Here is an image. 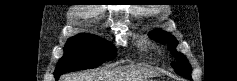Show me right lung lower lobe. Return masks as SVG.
Masks as SVG:
<instances>
[{"instance_id": "1", "label": "right lung lower lobe", "mask_w": 237, "mask_h": 81, "mask_svg": "<svg viewBox=\"0 0 237 81\" xmlns=\"http://www.w3.org/2000/svg\"><path fill=\"white\" fill-rule=\"evenodd\" d=\"M60 76H55L56 80L59 78Z\"/></svg>"}]
</instances>
